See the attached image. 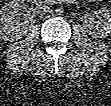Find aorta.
<instances>
[{
	"label": "aorta",
	"mask_w": 111,
	"mask_h": 106,
	"mask_svg": "<svg viewBox=\"0 0 111 106\" xmlns=\"http://www.w3.org/2000/svg\"><path fill=\"white\" fill-rule=\"evenodd\" d=\"M55 12L58 14V15H63L64 14V9L62 7H59L55 10Z\"/></svg>",
	"instance_id": "1"
}]
</instances>
